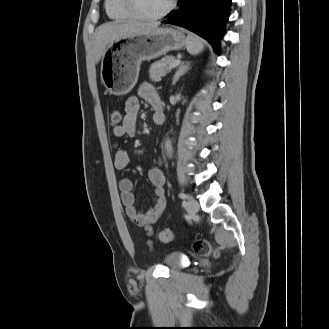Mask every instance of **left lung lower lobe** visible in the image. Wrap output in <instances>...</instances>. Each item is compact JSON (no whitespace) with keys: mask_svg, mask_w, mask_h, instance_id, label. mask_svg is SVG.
I'll use <instances>...</instances> for the list:
<instances>
[{"mask_svg":"<svg viewBox=\"0 0 329 329\" xmlns=\"http://www.w3.org/2000/svg\"><path fill=\"white\" fill-rule=\"evenodd\" d=\"M231 0H179L180 8L162 23L185 27L210 42L219 52V39L229 17Z\"/></svg>","mask_w":329,"mask_h":329,"instance_id":"1","label":"left lung lower lobe"}]
</instances>
